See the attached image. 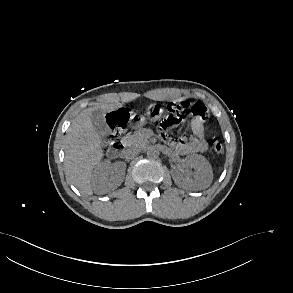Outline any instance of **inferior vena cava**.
I'll use <instances>...</instances> for the list:
<instances>
[{
  "label": "inferior vena cava",
  "instance_id": "obj_1",
  "mask_svg": "<svg viewBox=\"0 0 293 293\" xmlns=\"http://www.w3.org/2000/svg\"><path fill=\"white\" fill-rule=\"evenodd\" d=\"M139 152H140V148L133 147V148H129V149L125 150L124 155L125 156H135V155H138Z\"/></svg>",
  "mask_w": 293,
  "mask_h": 293
}]
</instances>
